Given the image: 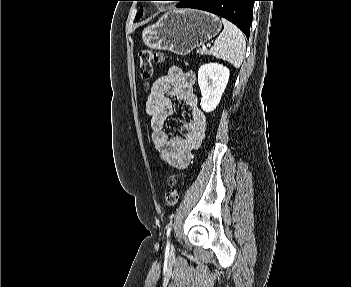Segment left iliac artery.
<instances>
[{"label":"left iliac artery","mask_w":351,"mask_h":287,"mask_svg":"<svg viewBox=\"0 0 351 287\" xmlns=\"http://www.w3.org/2000/svg\"><path fill=\"white\" fill-rule=\"evenodd\" d=\"M171 228H172V224H170V227L168 228V231H167V236H169V235H170Z\"/></svg>","instance_id":"left-iliac-artery-1"}]
</instances>
